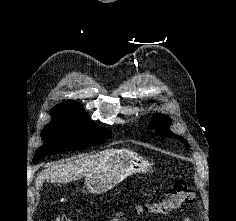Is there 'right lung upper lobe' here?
<instances>
[{"label":"right lung upper lobe","instance_id":"cb5924a9","mask_svg":"<svg viewBox=\"0 0 236 221\" xmlns=\"http://www.w3.org/2000/svg\"><path fill=\"white\" fill-rule=\"evenodd\" d=\"M55 107H66V108H71V109H75V110H79V111L84 112L83 107L75 101L63 102V103L56 105Z\"/></svg>","mask_w":236,"mask_h":221}]
</instances>
